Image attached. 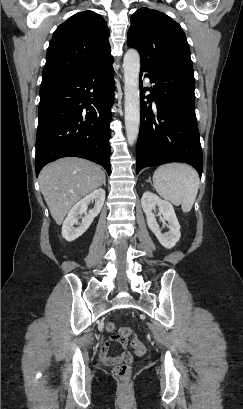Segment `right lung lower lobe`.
Segmentation results:
<instances>
[{
    "mask_svg": "<svg viewBox=\"0 0 243 409\" xmlns=\"http://www.w3.org/2000/svg\"><path fill=\"white\" fill-rule=\"evenodd\" d=\"M113 59L70 77L41 83L35 168L75 156L110 174V108L114 101Z\"/></svg>",
    "mask_w": 243,
    "mask_h": 409,
    "instance_id": "1",
    "label": "right lung lower lobe"
}]
</instances>
